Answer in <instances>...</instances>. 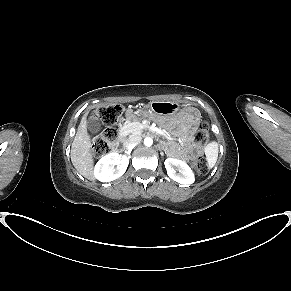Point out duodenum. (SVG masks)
Segmentation results:
<instances>
[{
    "label": "duodenum",
    "instance_id": "obj_1",
    "mask_svg": "<svg viewBox=\"0 0 291 291\" xmlns=\"http://www.w3.org/2000/svg\"><path fill=\"white\" fill-rule=\"evenodd\" d=\"M127 140H128V137L126 135L121 136V141L119 142V144H117L115 146V149L117 151H120L122 149V147H124L128 144Z\"/></svg>",
    "mask_w": 291,
    "mask_h": 291
}]
</instances>
